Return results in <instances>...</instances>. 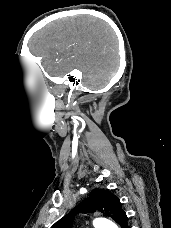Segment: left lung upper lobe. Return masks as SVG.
I'll list each match as a JSON object with an SVG mask.
<instances>
[{"instance_id":"1","label":"left lung upper lobe","mask_w":171,"mask_h":228,"mask_svg":"<svg viewBox=\"0 0 171 228\" xmlns=\"http://www.w3.org/2000/svg\"><path fill=\"white\" fill-rule=\"evenodd\" d=\"M90 210L102 212L120 227L127 223V216L121 208L120 200L109 190L95 189L89 198L84 199L70 214L57 221L51 228H71L75 214Z\"/></svg>"}]
</instances>
